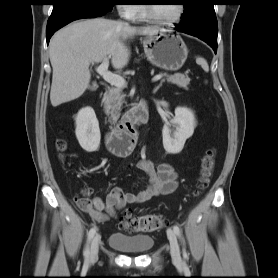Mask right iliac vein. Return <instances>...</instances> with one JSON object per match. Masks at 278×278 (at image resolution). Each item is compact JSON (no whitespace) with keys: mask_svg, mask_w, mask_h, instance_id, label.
Instances as JSON below:
<instances>
[{"mask_svg":"<svg viewBox=\"0 0 278 278\" xmlns=\"http://www.w3.org/2000/svg\"><path fill=\"white\" fill-rule=\"evenodd\" d=\"M99 243H100V235L97 234L93 238L91 243L90 257H89L90 263H94L98 259Z\"/></svg>","mask_w":278,"mask_h":278,"instance_id":"obj_1","label":"right iliac vein"}]
</instances>
